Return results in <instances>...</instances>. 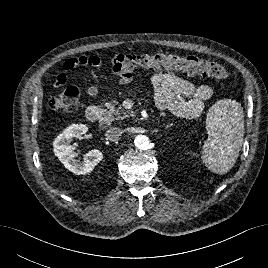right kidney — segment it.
<instances>
[{"instance_id":"right-kidney-1","label":"right kidney","mask_w":268,"mask_h":268,"mask_svg":"<svg viewBox=\"0 0 268 268\" xmlns=\"http://www.w3.org/2000/svg\"><path fill=\"white\" fill-rule=\"evenodd\" d=\"M88 131V127L83 124H73L67 127L54 140V153L64 166L74 174L85 175L93 171L94 167L103 159L100 150H91L84 156L83 161L75 159L70 144L73 138H79Z\"/></svg>"}]
</instances>
